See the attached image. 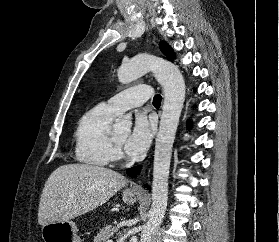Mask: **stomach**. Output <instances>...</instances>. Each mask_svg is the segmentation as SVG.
<instances>
[{"mask_svg": "<svg viewBox=\"0 0 279 242\" xmlns=\"http://www.w3.org/2000/svg\"><path fill=\"white\" fill-rule=\"evenodd\" d=\"M139 199V195L128 190L123 193V201L132 205ZM77 226L73 221L52 222L44 225L41 236L44 242H81L77 235Z\"/></svg>", "mask_w": 279, "mask_h": 242, "instance_id": "obj_1", "label": "stomach"}]
</instances>
